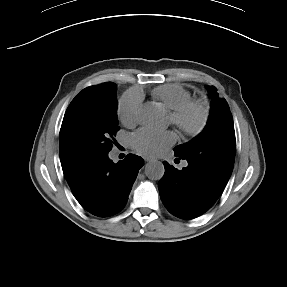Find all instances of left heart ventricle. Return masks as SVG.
<instances>
[{"label": "left heart ventricle", "mask_w": 287, "mask_h": 287, "mask_svg": "<svg viewBox=\"0 0 287 287\" xmlns=\"http://www.w3.org/2000/svg\"><path fill=\"white\" fill-rule=\"evenodd\" d=\"M197 116L195 114H190L186 118V122L191 125L196 121Z\"/></svg>", "instance_id": "1"}]
</instances>
